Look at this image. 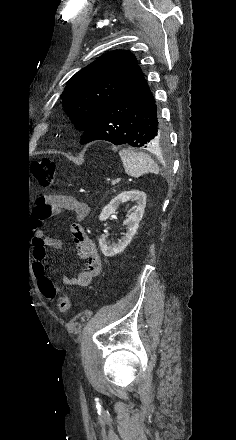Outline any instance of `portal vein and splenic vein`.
Returning a JSON list of instances; mask_svg holds the SVG:
<instances>
[{"label":"portal vein and splenic vein","instance_id":"obj_1","mask_svg":"<svg viewBox=\"0 0 236 440\" xmlns=\"http://www.w3.org/2000/svg\"><path fill=\"white\" fill-rule=\"evenodd\" d=\"M119 181H120V179L112 180L111 184H112V185H115V184H117Z\"/></svg>","mask_w":236,"mask_h":440}]
</instances>
